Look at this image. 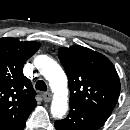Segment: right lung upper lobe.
I'll return each mask as SVG.
<instances>
[{"label": "right lung upper lobe", "instance_id": "obj_1", "mask_svg": "<svg viewBox=\"0 0 130 130\" xmlns=\"http://www.w3.org/2000/svg\"><path fill=\"white\" fill-rule=\"evenodd\" d=\"M39 48L38 42L0 38V130L20 126L36 107V92L23 66Z\"/></svg>", "mask_w": 130, "mask_h": 130}]
</instances>
